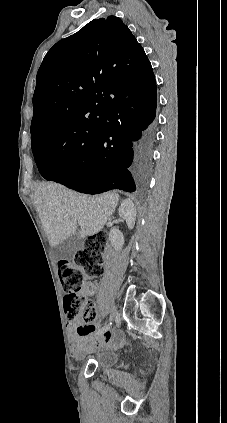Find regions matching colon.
<instances>
[{
    "label": "colon",
    "instance_id": "obj_1",
    "mask_svg": "<svg viewBox=\"0 0 227 423\" xmlns=\"http://www.w3.org/2000/svg\"><path fill=\"white\" fill-rule=\"evenodd\" d=\"M107 235L99 232L85 242V248L78 251L72 260H61L58 264L64 296V310L75 332L81 326L92 322L95 313L87 299L86 279L99 276L103 271Z\"/></svg>",
    "mask_w": 227,
    "mask_h": 423
}]
</instances>
